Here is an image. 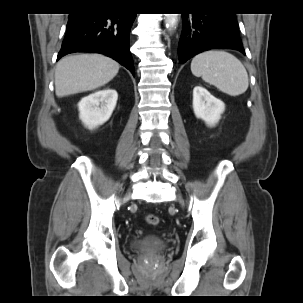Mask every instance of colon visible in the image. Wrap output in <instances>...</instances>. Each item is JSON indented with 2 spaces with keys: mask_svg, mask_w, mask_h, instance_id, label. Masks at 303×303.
<instances>
[{
  "mask_svg": "<svg viewBox=\"0 0 303 303\" xmlns=\"http://www.w3.org/2000/svg\"><path fill=\"white\" fill-rule=\"evenodd\" d=\"M146 221L150 225H157L159 223V217L157 215H147L146 216Z\"/></svg>",
  "mask_w": 303,
  "mask_h": 303,
  "instance_id": "1",
  "label": "colon"
}]
</instances>
